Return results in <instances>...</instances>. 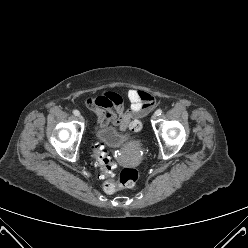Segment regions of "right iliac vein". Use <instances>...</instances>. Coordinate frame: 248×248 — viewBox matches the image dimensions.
<instances>
[{"label": "right iliac vein", "mask_w": 248, "mask_h": 248, "mask_svg": "<svg viewBox=\"0 0 248 248\" xmlns=\"http://www.w3.org/2000/svg\"><path fill=\"white\" fill-rule=\"evenodd\" d=\"M80 121H84V118L82 115H78Z\"/></svg>", "instance_id": "1"}]
</instances>
